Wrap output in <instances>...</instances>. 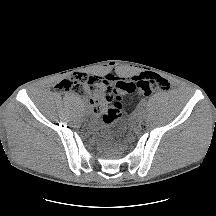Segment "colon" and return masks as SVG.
Returning a JSON list of instances; mask_svg holds the SVG:
<instances>
[{
    "instance_id": "colon-1",
    "label": "colon",
    "mask_w": 216,
    "mask_h": 216,
    "mask_svg": "<svg viewBox=\"0 0 216 216\" xmlns=\"http://www.w3.org/2000/svg\"><path fill=\"white\" fill-rule=\"evenodd\" d=\"M58 87L89 99L94 110L102 112L103 123L113 125L122 117L124 94L137 92L141 97H148L154 89L168 90L169 83L155 74H142L131 81L120 80L114 85L106 77L76 74L61 81Z\"/></svg>"
}]
</instances>
